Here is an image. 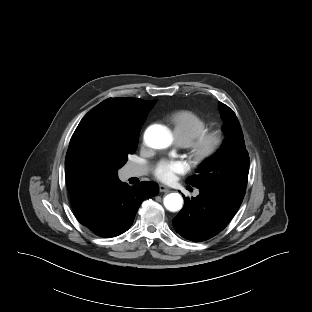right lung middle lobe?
Segmentation results:
<instances>
[{
    "label": "right lung middle lobe",
    "instance_id": "right-lung-middle-lobe-1",
    "mask_svg": "<svg viewBox=\"0 0 312 312\" xmlns=\"http://www.w3.org/2000/svg\"><path fill=\"white\" fill-rule=\"evenodd\" d=\"M144 121L133 128L120 129L104 123L85 128L71 153L75 170L87 177L117 176L116 171L136 151Z\"/></svg>",
    "mask_w": 312,
    "mask_h": 312
}]
</instances>
